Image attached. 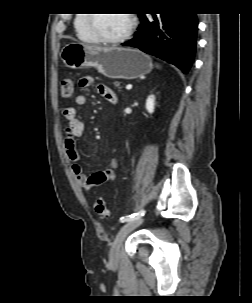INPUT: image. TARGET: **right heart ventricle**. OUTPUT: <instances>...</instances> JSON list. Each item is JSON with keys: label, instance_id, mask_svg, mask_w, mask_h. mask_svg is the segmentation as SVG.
Instances as JSON below:
<instances>
[{"label": "right heart ventricle", "instance_id": "1", "mask_svg": "<svg viewBox=\"0 0 252 303\" xmlns=\"http://www.w3.org/2000/svg\"><path fill=\"white\" fill-rule=\"evenodd\" d=\"M75 27L77 29L78 34L81 37L92 39L93 33L89 26V16H85L84 14H79L74 21Z\"/></svg>", "mask_w": 252, "mask_h": 303}]
</instances>
